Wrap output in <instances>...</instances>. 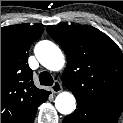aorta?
<instances>
[{"label": "aorta", "instance_id": "aorta-1", "mask_svg": "<svg viewBox=\"0 0 123 123\" xmlns=\"http://www.w3.org/2000/svg\"><path fill=\"white\" fill-rule=\"evenodd\" d=\"M35 55L39 62L51 71L61 70L65 63L60 48L48 40H43L36 44ZM55 107L59 113L69 115L76 108V99L70 92H61L55 99Z\"/></svg>", "mask_w": 123, "mask_h": 123}]
</instances>
